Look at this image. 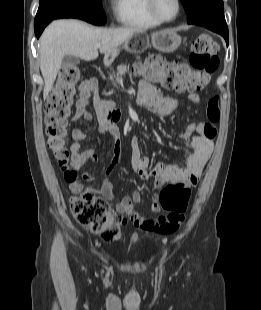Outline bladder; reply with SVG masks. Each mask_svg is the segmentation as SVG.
Listing matches in <instances>:
<instances>
[{"instance_id": "obj_1", "label": "bladder", "mask_w": 261, "mask_h": 310, "mask_svg": "<svg viewBox=\"0 0 261 310\" xmlns=\"http://www.w3.org/2000/svg\"><path fill=\"white\" fill-rule=\"evenodd\" d=\"M139 238L138 237H135L134 238V243L138 242Z\"/></svg>"}]
</instances>
